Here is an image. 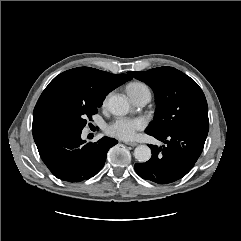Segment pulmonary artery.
<instances>
[{"mask_svg":"<svg viewBox=\"0 0 241 241\" xmlns=\"http://www.w3.org/2000/svg\"><path fill=\"white\" fill-rule=\"evenodd\" d=\"M130 97L136 105L144 106L145 104H147L150 101L151 93L146 91V92H141V93L135 94Z\"/></svg>","mask_w":241,"mask_h":241,"instance_id":"obj_1","label":"pulmonary artery"}]
</instances>
